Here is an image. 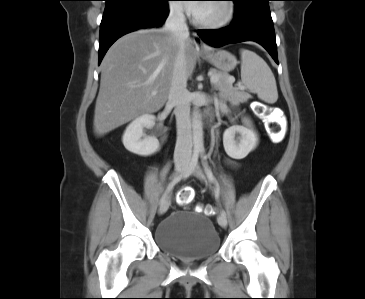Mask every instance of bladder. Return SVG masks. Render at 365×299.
<instances>
[{
    "label": "bladder",
    "mask_w": 365,
    "mask_h": 299,
    "mask_svg": "<svg viewBox=\"0 0 365 299\" xmlns=\"http://www.w3.org/2000/svg\"><path fill=\"white\" fill-rule=\"evenodd\" d=\"M153 238L162 251L185 260L206 258L220 248L212 220L185 209H176L164 218L156 226Z\"/></svg>",
    "instance_id": "bladder-1"
}]
</instances>
